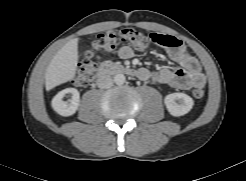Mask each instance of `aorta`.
<instances>
[{
    "mask_svg": "<svg viewBox=\"0 0 246 181\" xmlns=\"http://www.w3.org/2000/svg\"><path fill=\"white\" fill-rule=\"evenodd\" d=\"M126 81V77L124 74H116L114 76V82L117 84V85H122L124 84Z\"/></svg>",
    "mask_w": 246,
    "mask_h": 181,
    "instance_id": "1",
    "label": "aorta"
}]
</instances>
